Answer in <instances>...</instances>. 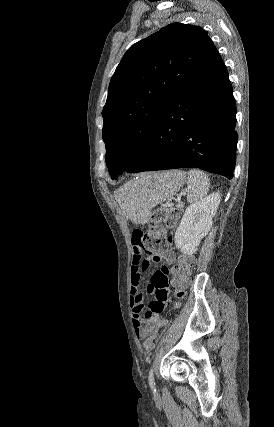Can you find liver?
Wrapping results in <instances>:
<instances>
[{"label":"liver","instance_id":"1","mask_svg":"<svg viewBox=\"0 0 274 427\" xmlns=\"http://www.w3.org/2000/svg\"><path fill=\"white\" fill-rule=\"evenodd\" d=\"M121 198H122V196H121V194H120V190H118V202H119V204H120L121 208H123V210H125V206H124V204H123V202H122ZM125 212H126V210H125Z\"/></svg>","mask_w":274,"mask_h":427}]
</instances>
